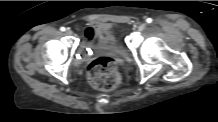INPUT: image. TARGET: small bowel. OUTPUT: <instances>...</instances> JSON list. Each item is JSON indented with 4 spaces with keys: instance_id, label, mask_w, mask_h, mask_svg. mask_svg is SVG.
Instances as JSON below:
<instances>
[{
    "instance_id": "obj_1",
    "label": "small bowel",
    "mask_w": 218,
    "mask_h": 122,
    "mask_svg": "<svg viewBox=\"0 0 218 122\" xmlns=\"http://www.w3.org/2000/svg\"><path fill=\"white\" fill-rule=\"evenodd\" d=\"M95 32V27H88L85 30V39L93 38Z\"/></svg>"
}]
</instances>
